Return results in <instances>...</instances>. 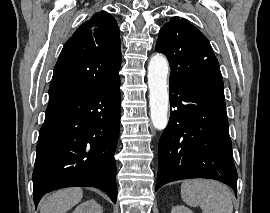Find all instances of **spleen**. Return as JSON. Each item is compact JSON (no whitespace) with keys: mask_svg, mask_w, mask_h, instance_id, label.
<instances>
[{"mask_svg":"<svg viewBox=\"0 0 270 213\" xmlns=\"http://www.w3.org/2000/svg\"><path fill=\"white\" fill-rule=\"evenodd\" d=\"M181 197L189 206H200L202 213H233L229 191L215 180H185L181 185Z\"/></svg>","mask_w":270,"mask_h":213,"instance_id":"3e777b00","label":"spleen"}]
</instances>
